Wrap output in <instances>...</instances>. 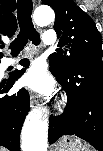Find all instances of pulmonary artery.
Instances as JSON below:
<instances>
[{"instance_id": "obj_1", "label": "pulmonary artery", "mask_w": 103, "mask_h": 151, "mask_svg": "<svg viewBox=\"0 0 103 151\" xmlns=\"http://www.w3.org/2000/svg\"><path fill=\"white\" fill-rule=\"evenodd\" d=\"M55 33L54 31H46L43 35V41L46 45H51L55 42ZM18 61V59H15L13 62Z\"/></svg>"}]
</instances>
